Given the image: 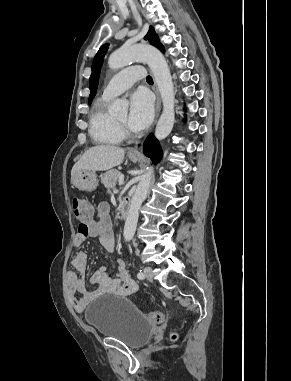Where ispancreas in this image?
Wrapping results in <instances>:
<instances>
[{
	"mask_svg": "<svg viewBox=\"0 0 291 381\" xmlns=\"http://www.w3.org/2000/svg\"><path fill=\"white\" fill-rule=\"evenodd\" d=\"M120 175H121L120 171L116 169L107 171L106 173H104V175L101 176V183L106 188H113Z\"/></svg>",
	"mask_w": 291,
	"mask_h": 381,
	"instance_id": "1",
	"label": "pancreas"
}]
</instances>
